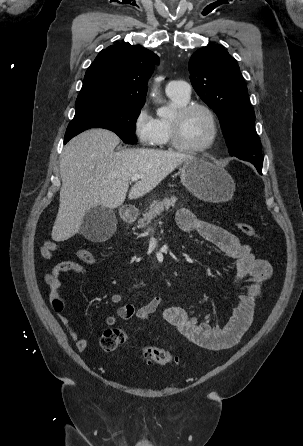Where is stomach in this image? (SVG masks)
<instances>
[{
	"instance_id": "obj_1",
	"label": "stomach",
	"mask_w": 303,
	"mask_h": 446,
	"mask_svg": "<svg viewBox=\"0 0 303 446\" xmlns=\"http://www.w3.org/2000/svg\"><path fill=\"white\" fill-rule=\"evenodd\" d=\"M180 179L192 195L207 202L229 201L235 191L230 174L204 159L194 158L185 162L180 169Z\"/></svg>"
}]
</instances>
